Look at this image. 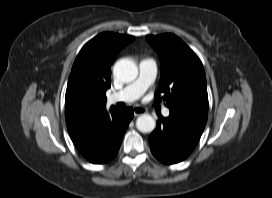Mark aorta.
Returning <instances> with one entry per match:
<instances>
[{"label": "aorta", "mask_w": 272, "mask_h": 198, "mask_svg": "<svg viewBox=\"0 0 272 198\" xmlns=\"http://www.w3.org/2000/svg\"><path fill=\"white\" fill-rule=\"evenodd\" d=\"M114 76L122 82H130L138 76L136 64L127 58L118 60L113 69ZM156 122L151 115L143 114L136 120V127L143 133H150L155 129Z\"/></svg>", "instance_id": "1"}]
</instances>
